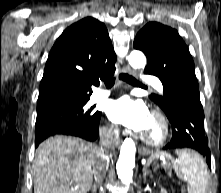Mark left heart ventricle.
I'll return each instance as SVG.
<instances>
[{"label": "left heart ventricle", "instance_id": "b2bd125f", "mask_svg": "<svg viewBox=\"0 0 221 193\" xmlns=\"http://www.w3.org/2000/svg\"><path fill=\"white\" fill-rule=\"evenodd\" d=\"M141 132L151 138H158L161 133V126L157 119L150 115L147 123L145 124Z\"/></svg>", "mask_w": 221, "mask_h": 193}]
</instances>
